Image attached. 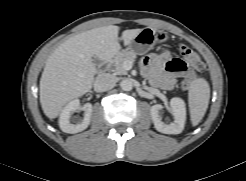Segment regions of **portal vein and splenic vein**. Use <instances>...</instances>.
I'll list each match as a JSON object with an SVG mask.
<instances>
[{"instance_id":"obj_1","label":"portal vein and splenic vein","mask_w":246,"mask_h":181,"mask_svg":"<svg viewBox=\"0 0 246 181\" xmlns=\"http://www.w3.org/2000/svg\"><path fill=\"white\" fill-rule=\"evenodd\" d=\"M124 67L128 70V69H130L131 66L129 65V62H125Z\"/></svg>"}]
</instances>
